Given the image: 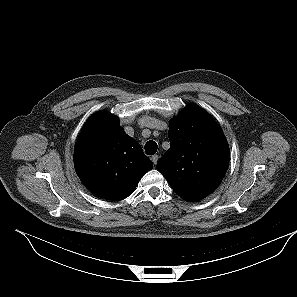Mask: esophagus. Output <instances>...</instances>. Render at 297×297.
I'll return each mask as SVG.
<instances>
[{"label": "esophagus", "mask_w": 297, "mask_h": 297, "mask_svg": "<svg viewBox=\"0 0 297 297\" xmlns=\"http://www.w3.org/2000/svg\"><path fill=\"white\" fill-rule=\"evenodd\" d=\"M158 159H159V156H158V155H153V156L151 157V160H152V162H153L154 165L157 164Z\"/></svg>", "instance_id": "esophagus-1"}]
</instances>
